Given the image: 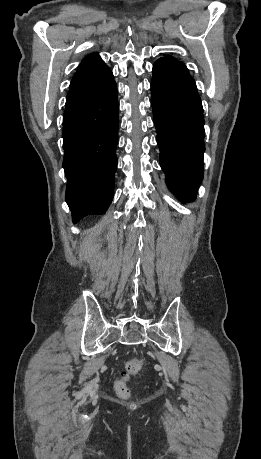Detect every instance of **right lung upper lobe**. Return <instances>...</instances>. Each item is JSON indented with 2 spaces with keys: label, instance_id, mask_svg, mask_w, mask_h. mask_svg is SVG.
Instances as JSON below:
<instances>
[{
  "label": "right lung upper lobe",
  "instance_id": "cb5924a9",
  "mask_svg": "<svg viewBox=\"0 0 261 459\" xmlns=\"http://www.w3.org/2000/svg\"><path fill=\"white\" fill-rule=\"evenodd\" d=\"M112 82L114 76L99 55L85 57L72 78L65 111L95 97Z\"/></svg>",
  "mask_w": 261,
  "mask_h": 459
}]
</instances>
